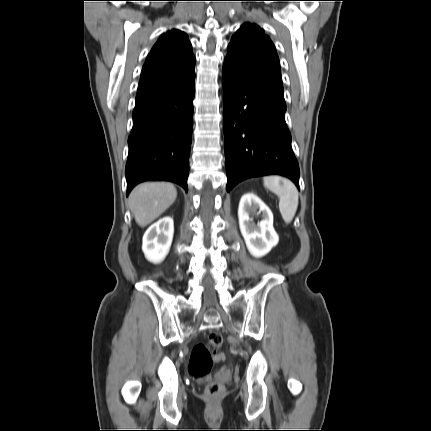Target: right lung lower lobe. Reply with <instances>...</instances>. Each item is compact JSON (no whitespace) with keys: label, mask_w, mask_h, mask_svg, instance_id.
I'll return each instance as SVG.
<instances>
[{"label":"right lung lower lobe","mask_w":431,"mask_h":431,"mask_svg":"<svg viewBox=\"0 0 431 431\" xmlns=\"http://www.w3.org/2000/svg\"><path fill=\"white\" fill-rule=\"evenodd\" d=\"M194 79L162 99L134 108L125 170L127 195L148 180L171 181L187 192Z\"/></svg>","instance_id":"98d812e1"}]
</instances>
